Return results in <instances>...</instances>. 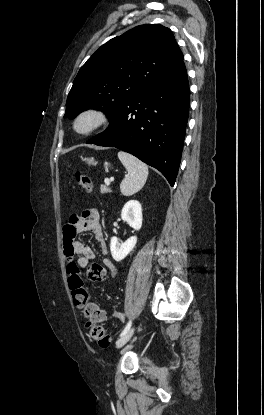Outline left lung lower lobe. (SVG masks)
Returning <instances> with one entry per match:
<instances>
[{"label":"left lung lower lobe","mask_w":264,"mask_h":415,"mask_svg":"<svg viewBox=\"0 0 264 415\" xmlns=\"http://www.w3.org/2000/svg\"><path fill=\"white\" fill-rule=\"evenodd\" d=\"M183 60L131 98L106 131L87 143L116 147L158 169L174 185L189 113Z\"/></svg>","instance_id":"left-lung-lower-lobe-1"}]
</instances>
